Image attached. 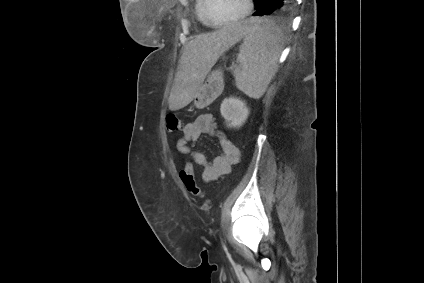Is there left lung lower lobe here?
I'll return each instance as SVG.
<instances>
[{"label": "left lung lower lobe", "instance_id": "0a47b994", "mask_svg": "<svg viewBox=\"0 0 424 283\" xmlns=\"http://www.w3.org/2000/svg\"><path fill=\"white\" fill-rule=\"evenodd\" d=\"M295 0H255V12L253 16L270 15L278 11H284L293 6Z\"/></svg>", "mask_w": 424, "mask_h": 283}]
</instances>
